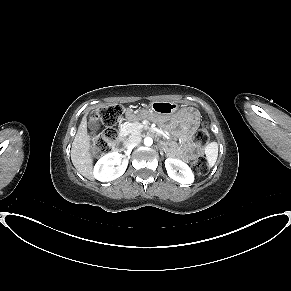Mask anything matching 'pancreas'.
Segmentation results:
<instances>
[{"label": "pancreas", "instance_id": "1", "mask_svg": "<svg viewBox=\"0 0 291 291\" xmlns=\"http://www.w3.org/2000/svg\"><path fill=\"white\" fill-rule=\"evenodd\" d=\"M142 126L139 123L132 125V130L134 133L139 134L141 132Z\"/></svg>", "mask_w": 291, "mask_h": 291}]
</instances>
